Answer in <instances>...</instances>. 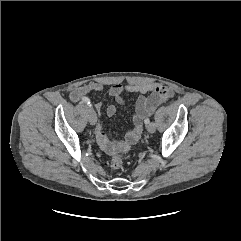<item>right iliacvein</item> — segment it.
Returning a JSON list of instances; mask_svg holds the SVG:
<instances>
[{"label":"right iliac vein","mask_w":241,"mask_h":241,"mask_svg":"<svg viewBox=\"0 0 241 241\" xmlns=\"http://www.w3.org/2000/svg\"><path fill=\"white\" fill-rule=\"evenodd\" d=\"M88 119L91 125H95L97 117L93 108H88Z\"/></svg>","instance_id":"63e3f726"}]
</instances>
